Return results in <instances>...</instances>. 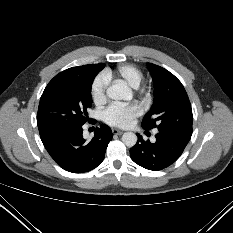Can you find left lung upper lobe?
I'll return each mask as SVG.
<instances>
[{
	"label": "left lung upper lobe",
	"mask_w": 233,
	"mask_h": 233,
	"mask_svg": "<svg viewBox=\"0 0 233 233\" xmlns=\"http://www.w3.org/2000/svg\"><path fill=\"white\" fill-rule=\"evenodd\" d=\"M154 81V102L142 121L146 130L192 135V109L181 82L166 69L148 63Z\"/></svg>",
	"instance_id": "5c2ea615"
}]
</instances>
